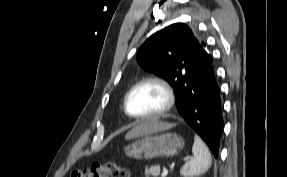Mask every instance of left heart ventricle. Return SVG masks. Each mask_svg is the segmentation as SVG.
<instances>
[{
  "mask_svg": "<svg viewBox=\"0 0 287 177\" xmlns=\"http://www.w3.org/2000/svg\"><path fill=\"white\" fill-rule=\"evenodd\" d=\"M165 102L162 89L154 84L138 87L130 96L129 111L133 115H147L159 110Z\"/></svg>",
  "mask_w": 287,
  "mask_h": 177,
  "instance_id": "b2bd125f",
  "label": "left heart ventricle"
}]
</instances>
